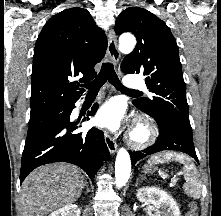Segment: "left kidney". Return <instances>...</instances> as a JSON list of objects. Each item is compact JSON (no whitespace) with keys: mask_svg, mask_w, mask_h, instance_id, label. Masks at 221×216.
<instances>
[{"mask_svg":"<svg viewBox=\"0 0 221 216\" xmlns=\"http://www.w3.org/2000/svg\"><path fill=\"white\" fill-rule=\"evenodd\" d=\"M136 196L142 203L153 204L157 213L156 216H180L176 201L167 192L159 188L142 187L137 190Z\"/></svg>","mask_w":221,"mask_h":216,"instance_id":"5707ae66","label":"left kidney"}]
</instances>
